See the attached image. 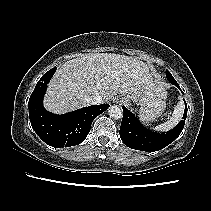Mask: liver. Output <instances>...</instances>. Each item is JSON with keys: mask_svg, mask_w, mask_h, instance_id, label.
Instances as JSON below:
<instances>
[{"mask_svg": "<svg viewBox=\"0 0 211 211\" xmlns=\"http://www.w3.org/2000/svg\"><path fill=\"white\" fill-rule=\"evenodd\" d=\"M117 93L137 104L166 94L160 76L146 63L125 55L91 53L61 65L49 83L45 108L55 114L88 105L95 94L106 102Z\"/></svg>", "mask_w": 211, "mask_h": 211, "instance_id": "6515ba94", "label": "liver"}]
</instances>
